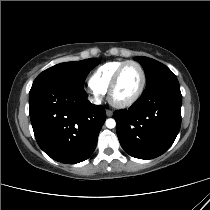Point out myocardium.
<instances>
[{
	"label": "myocardium",
	"mask_w": 210,
	"mask_h": 210,
	"mask_svg": "<svg viewBox=\"0 0 210 210\" xmlns=\"http://www.w3.org/2000/svg\"><path fill=\"white\" fill-rule=\"evenodd\" d=\"M129 64L136 65L139 68L140 73H141V83H140L138 90L132 97H130L126 100H123V101H117L114 99V92L118 86L120 76H121L123 69ZM146 82H147L146 72H145L143 66L139 62H137L135 60H127V61L123 62L118 67L116 72L114 73V76H113V78L110 82V85L108 87V90H107L108 100H109L110 104L116 108H126V107L133 105L143 94L145 86H146Z\"/></svg>",
	"instance_id": "1"
}]
</instances>
